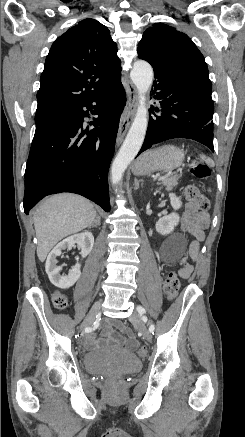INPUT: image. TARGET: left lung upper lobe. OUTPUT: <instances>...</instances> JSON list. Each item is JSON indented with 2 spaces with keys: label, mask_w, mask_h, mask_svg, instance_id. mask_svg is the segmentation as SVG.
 <instances>
[{
  "label": "left lung upper lobe",
  "mask_w": 245,
  "mask_h": 437,
  "mask_svg": "<svg viewBox=\"0 0 245 437\" xmlns=\"http://www.w3.org/2000/svg\"><path fill=\"white\" fill-rule=\"evenodd\" d=\"M138 57L154 69L212 92L207 64L192 40L163 23L145 30L138 44Z\"/></svg>",
  "instance_id": "obj_1"
}]
</instances>
